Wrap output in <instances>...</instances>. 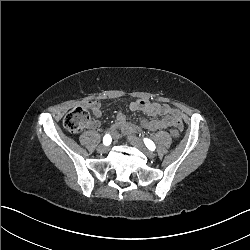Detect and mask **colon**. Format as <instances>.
<instances>
[{"instance_id":"obj_1","label":"colon","mask_w":250,"mask_h":250,"mask_svg":"<svg viewBox=\"0 0 250 250\" xmlns=\"http://www.w3.org/2000/svg\"><path fill=\"white\" fill-rule=\"evenodd\" d=\"M90 122V114L84 107L75 106L63 118V127L70 133L76 134L82 131ZM174 138L180 135L177 129L171 132Z\"/></svg>"}]
</instances>
